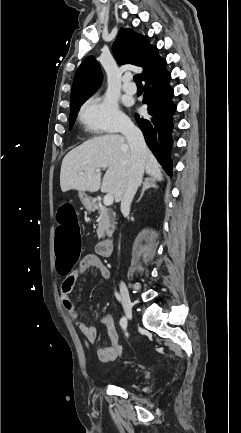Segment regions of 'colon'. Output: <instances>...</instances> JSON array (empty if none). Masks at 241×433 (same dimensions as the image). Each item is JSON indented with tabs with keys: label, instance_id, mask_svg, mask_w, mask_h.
I'll return each instance as SVG.
<instances>
[{
	"label": "colon",
	"instance_id": "obj_1",
	"mask_svg": "<svg viewBox=\"0 0 241 433\" xmlns=\"http://www.w3.org/2000/svg\"><path fill=\"white\" fill-rule=\"evenodd\" d=\"M60 212H54L57 225L54 232V250L57 254L55 270L57 272H72L81 245V221L77 220V205H60ZM117 354L122 353L120 345L116 347Z\"/></svg>",
	"mask_w": 241,
	"mask_h": 433
}]
</instances>
